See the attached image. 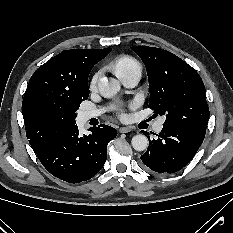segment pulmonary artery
<instances>
[{"mask_svg": "<svg viewBox=\"0 0 233 233\" xmlns=\"http://www.w3.org/2000/svg\"><path fill=\"white\" fill-rule=\"evenodd\" d=\"M141 70L136 68L127 73L122 74L119 79L120 81L127 87H134L140 80ZM101 110H92V111H84L81 113L82 121H88L91 118L97 117L101 114ZM164 118L159 119L154 124V131L160 132L163 128Z\"/></svg>", "mask_w": 233, "mask_h": 233, "instance_id": "obj_1", "label": "pulmonary artery"}]
</instances>
